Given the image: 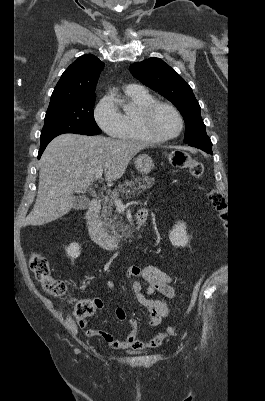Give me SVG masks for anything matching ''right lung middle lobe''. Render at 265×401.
<instances>
[{"instance_id": "1", "label": "right lung middle lobe", "mask_w": 265, "mask_h": 401, "mask_svg": "<svg viewBox=\"0 0 265 401\" xmlns=\"http://www.w3.org/2000/svg\"><path fill=\"white\" fill-rule=\"evenodd\" d=\"M96 95L78 97L49 106L41 131V143L63 133L96 135L102 131L94 120Z\"/></svg>"}]
</instances>
